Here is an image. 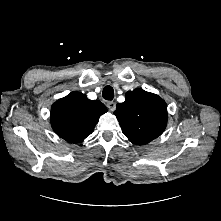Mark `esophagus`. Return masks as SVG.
<instances>
[{
  "mask_svg": "<svg viewBox=\"0 0 221 221\" xmlns=\"http://www.w3.org/2000/svg\"><path fill=\"white\" fill-rule=\"evenodd\" d=\"M107 107L109 108L110 111H114L116 108V104L113 101L107 102Z\"/></svg>",
  "mask_w": 221,
  "mask_h": 221,
  "instance_id": "obj_1",
  "label": "esophagus"
}]
</instances>
